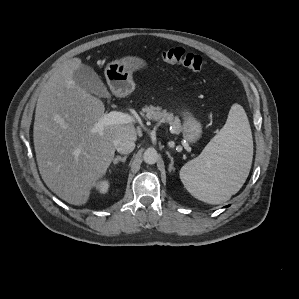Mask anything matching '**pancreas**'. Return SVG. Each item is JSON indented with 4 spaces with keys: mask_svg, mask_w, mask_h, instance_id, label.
<instances>
[{
    "mask_svg": "<svg viewBox=\"0 0 299 299\" xmlns=\"http://www.w3.org/2000/svg\"><path fill=\"white\" fill-rule=\"evenodd\" d=\"M141 115L148 120L159 121L161 123L168 122L172 126V133L179 134L182 132V124L178 117H174L171 112L161 110L160 107L145 106Z\"/></svg>",
    "mask_w": 299,
    "mask_h": 299,
    "instance_id": "1",
    "label": "pancreas"
}]
</instances>
